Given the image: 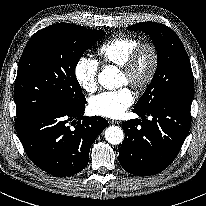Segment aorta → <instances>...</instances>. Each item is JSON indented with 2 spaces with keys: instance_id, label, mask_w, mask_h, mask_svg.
Listing matches in <instances>:
<instances>
[{
  "instance_id": "762f6f07",
  "label": "aorta",
  "mask_w": 206,
  "mask_h": 206,
  "mask_svg": "<svg viewBox=\"0 0 206 206\" xmlns=\"http://www.w3.org/2000/svg\"><path fill=\"white\" fill-rule=\"evenodd\" d=\"M118 70L113 66H107L98 75V82L105 89H113L116 84ZM105 139L112 145H118L124 140V132L118 126H109L105 130Z\"/></svg>"
}]
</instances>
